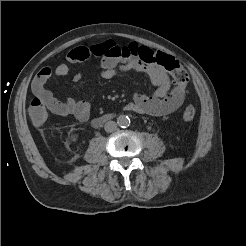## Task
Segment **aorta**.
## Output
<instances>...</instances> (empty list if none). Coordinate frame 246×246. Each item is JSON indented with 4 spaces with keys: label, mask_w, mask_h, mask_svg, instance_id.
<instances>
[{
    "label": "aorta",
    "mask_w": 246,
    "mask_h": 246,
    "mask_svg": "<svg viewBox=\"0 0 246 246\" xmlns=\"http://www.w3.org/2000/svg\"><path fill=\"white\" fill-rule=\"evenodd\" d=\"M117 124H118V126H120L122 128H126L130 125V118L128 116H125V115H120L117 118Z\"/></svg>",
    "instance_id": "obj_1"
}]
</instances>
